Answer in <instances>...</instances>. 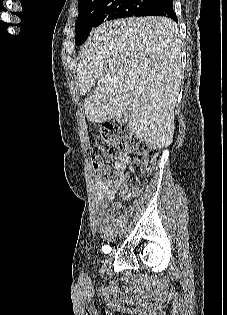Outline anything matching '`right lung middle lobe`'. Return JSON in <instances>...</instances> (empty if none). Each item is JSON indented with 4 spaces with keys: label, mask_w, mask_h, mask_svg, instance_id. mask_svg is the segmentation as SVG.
I'll return each mask as SVG.
<instances>
[{
    "label": "right lung middle lobe",
    "mask_w": 227,
    "mask_h": 315,
    "mask_svg": "<svg viewBox=\"0 0 227 315\" xmlns=\"http://www.w3.org/2000/svg\"><path fill=\"white\" fill-rule=\"evenodd\" d=\"M155 1L156 0H79V15L75 26L76 45L82 44L87 39L92 28L97 27L105 21L132 17L137 10L142 12Z\"/></svg>",
    "instance_id": "1"
}]
</instances>
